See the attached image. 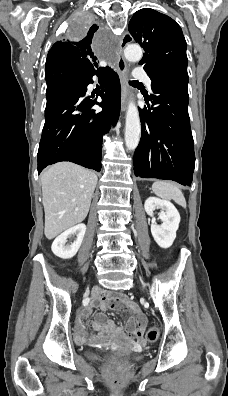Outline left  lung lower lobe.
<instances>
[{"instance_id":"0a47b994","label":"left lung lower lobe","mask_w":228,"mask_h":396,"mask_svg":"<svg viewBox=\"0 0 228 396\" xmlns=\"http://www.w3.org/2000/svg\"><path fill=\"white\" fill-rule=\"evenodd\" d=\"M151 89L148 101L153 111L147 108L139 111L142 133L134 153L135 176L190 185L195 154L188 115V88L156 79L152 80Z\"/></svg>"}]
</instances>
